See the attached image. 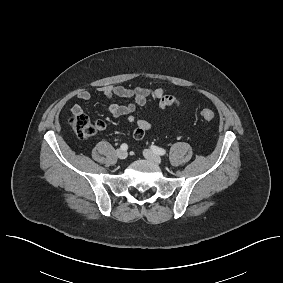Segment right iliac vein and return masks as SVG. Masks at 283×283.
Segmentation results:
<instances>
[{
  "label": "right iliac vein",
  "mask_w": 283,
  "mask_h": 283,
  "mask_svg": "<svg viewBox=\"0 0 283 283\" xmlns=\"http://www.w3.org/2000/svg\"><path fill=\"white\" fill-rule=\"evenodd\" d=\"M116 154H117V157H118L119 159H125V158H127V156H128L127 152H126L125 150H122V149H118V150L116 151Z\"/></svg>",
  "instance_id": "right-iliac-vein-1"
}]
</instances>
